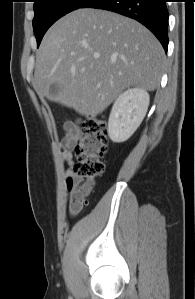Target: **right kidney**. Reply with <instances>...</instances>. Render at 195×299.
<instances>
[{
  "label": "right kidney",
  "mask_w": 195,
  "mask_h": 299,
  "mask_svg": "<svg viewBox=\"0 0 195 299\" xmlns=\"http://www.w3.org/2000/svg\"><path fill=\"white\" fill-rule=\"evenodd\" d=\"M149 100L148 92L140 87L128 89L117 97L107 129L113 142L121 143L131 137L147 113Z\"/></svg>",
  "instance_id": "ca27d5eb"
}]
</instances>
